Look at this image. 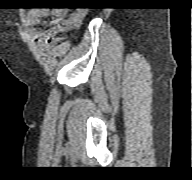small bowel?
I'll return each instance as SVG.
<instances>
[{"mask_svg":"<svg viewBox=\"0 0 192 180\" xmlns=\"http://www.w3.org/2000/svg\"><path fill=\"white\" fill-rule=\"evenodd\" d=\"M51 14L54 15V23L60 24L58 28L30 32V35L36 39L40 45L46 48L52 46L56 33L75 30L79 28L82 23V14L79 12L68 14L67 11L62 9L52 12L47 8H39L30 10L27 13V24L30 26L37 25L43 18H46Z\"/></svg>","mask_w":192,"mask_h":180,"instance_id":"small-bowel-1","label":"small bowel"}]
</instances>
